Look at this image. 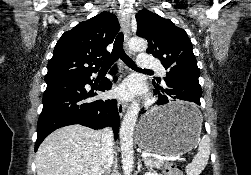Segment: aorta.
<instances>
[{
	"mask_svg": "<svg viewBox=\"0 0 251 175\" xmlns=\"http://www.w3.org/2000/svg\"><path fill=\"white\" fill-rule=\"evenodd\" d=\"M129 46L133 52H145L147 50V42L142 38H132V40H129ZM139 111L140 107L138 99H136V101L130 103L120 127L121 161L125 175H130L134 167L133 131Z\"/></svg>",
	"mask_w": 251,
	"mask_h": 175,
	"instance_id": "aorta-1",
	"label": "aorta"
}]
</instances>
